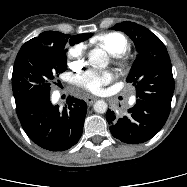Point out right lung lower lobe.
Listing matches in <instances>:
<instances>
[{
	"mask_svg": "<svg viewBox=\"0 0 187 187\" xmlns=\"http://www.w3.org/2000/svg\"><path fill=\"white\" fill-rule=\"evenodd\" d=\"M87 105L69 96L65 107L50 102V93L16 104V112L28 137L49 151H64L75 145L83 131Z\"/></svg>",
	"mask_w": 187,
	"mask_h": 187,
	"instance_id": "right-lung-lower-lobe-1",
	"label": "right lung lower lobe"
}]
</instances>
